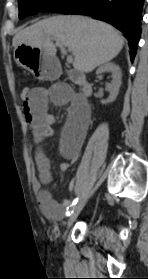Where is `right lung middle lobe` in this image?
<instances>
[{"instance_id":"1","label":"right lung middle lobe","mask_w":148,"mask_h":279,"mask_svg":"<svg viewBox=\"0 0 148 279\" xmlns=\"http://www.w3.org/2000/svg\"><path fill=\"white\" fill-rule=\"evenodd\" d=\"M82 0H18L19 18L36 14L38 12L62 10L81 2Z\"/></svg>"}]
</instances>
